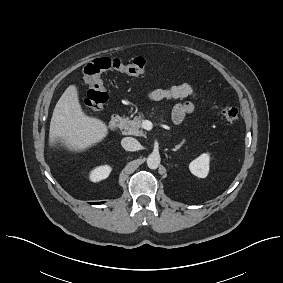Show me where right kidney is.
I'll return each mask as SVG.
<instances>
[{"label": "right kidney", "instance_id": "ca27d5eb", "mask_svg": "<svg viewBox=\"0 0 283 283\" xmlns=\"http://www.w3.org/2000/svg\"><path fill=\"white\" fill-rule=\"evenodd\" d=\"M111 170L112 168L109 165L96 167L90 172L89 178L92 182H99L103 179H106L109 176Z\"/></svg>", "mask_w": 283, "mask_h": 283}]
</instances>
